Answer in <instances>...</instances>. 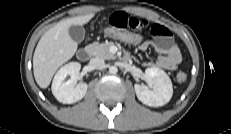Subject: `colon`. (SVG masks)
I'll use <instances>...</instances> for the list:
<instances>
[{
  "instance_id": "obj_1",
  "label": "colon",
  "mask_w": 231,
  "mask_h": 134,
  "mask_svg": "<svg viewBox=\"0 0 231 134\" xmlns=\"http://www.w3.org/2000/svg\"><path fill=\"white\" fill-rule=\"evenodd\" d=\"M103 33L110 38H113L128 45H134L139 47L146 42V39L142 34L127 29L108 26L103 29ZM176 78L179 82H184L187 78V75L185 72L180 71L177 73Z\"/></svg>"
}]
</instances>
